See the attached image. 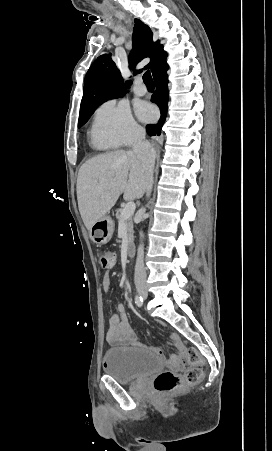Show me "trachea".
Listing matches in <instances>:
<instances>
[{
    "label": "trachea",
    "mask_w": 272,
    "mask_h": 451,
    "mask_svg": "<svg viewBox=\"0 0 272 451\" xmlns=\"http://www.w3.org/2000/svg\"><path fill=\"white\" fill-rule=\"evenodd\" d=\"M143 81H144L145 85H154V82L152 80V77H151V74L149 71L144 73Z\"/></svg>",
    "instance_id": "obj_1"
}]
</instances>
